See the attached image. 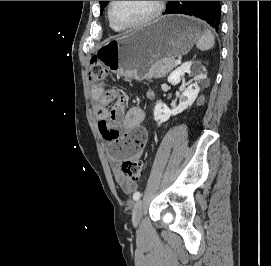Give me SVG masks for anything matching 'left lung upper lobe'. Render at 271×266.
Wrapping results in <instances>:
<instances>
[{
  "label": "left lung upper lobe",
  "mask_w": 271,
  "mask_h": 266,
  "mask_svg": "<svg viewBox=\"0 0 271 266\" xmlns=\"http://www.w3.org/2000/svg\"><path fill=\"white\" fill-rule=\"evenodd\" d=\"M109 1H100V6H101V12L103 11L104 7L107 5Z\"/></svg>",
  "instance_id": "5c2ea615"
}]
</instances>
